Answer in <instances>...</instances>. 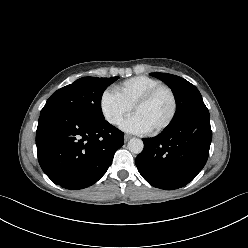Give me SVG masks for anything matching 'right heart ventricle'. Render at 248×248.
<instances>
[{"mask_svg":"<svg viewBox=\"0 0 248 248\" xmlns=\"http://www.w3.org/2000/svg\"><path fill=\"white\" fill-rule=\"evenodd\" d=\"M161 83L148 76H135L129 78L114 87V92L131 108L134 103L151 89Z\"/></svg>","mask_w":248,"mask_h":248,"instance_id":"right-heart-ventricle-1","label":"right heart ventricle"}]
</instances>
